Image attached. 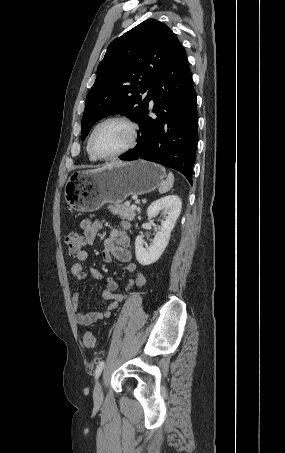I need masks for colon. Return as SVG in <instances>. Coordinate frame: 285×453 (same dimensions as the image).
I'll use <instances>...</instances> for the list:
<instances>
[{
	"mask_svg": "<svg viewBox=\"0 0 285 453\" xmlns=\"http://www.w3.org/2000/svg\"><path fill=\"white\" fill-rule=\"evenodd\" d=\"M65 244L68 247L69 255L71 257H77L84 250L86 242L81 234L71 231L65 236ZM82 342L86 348H93L96 343L94 334L89 330L85 331Z\"/></svg>",
	"mask_w": 285,
	"mask_h": 453,
	"instance_id": "colon-1",
	"label": "colon"
}]
</instances>
